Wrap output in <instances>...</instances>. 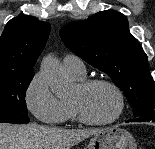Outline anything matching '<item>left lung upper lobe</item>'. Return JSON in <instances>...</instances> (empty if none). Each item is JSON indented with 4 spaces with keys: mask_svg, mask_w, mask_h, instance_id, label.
<instances>
[{
    "mask_svg": "<svg viewBox=\"0 0 155 149\" xmlns=\"http://www.w3.org/2000/svg\"><path fill=\"white\" fill-rule=\"evenodd\" d=\"M60 36L67 48L113 79L135 116L155 112V86L148 57L130 34L127 18L122 13L98 12L64 26Z\"/></svg>",
    "mask_w": 155,
    "mask_h": 149,
    "instance_id": "left-lung-upper-lobe-1",
    "label": "left lung upper lobe"
}]
</instances>
